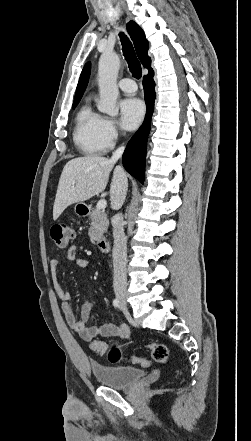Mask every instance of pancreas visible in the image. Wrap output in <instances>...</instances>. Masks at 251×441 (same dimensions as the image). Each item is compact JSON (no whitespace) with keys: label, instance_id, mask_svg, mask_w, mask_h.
<instances>
[{"label":"pancreas","instance_id":"pancreas-1","mask_svg":"<svg viewBox=\"0 0 251 441\" xmlns=\"http://www.w3.org/2000/svg\"><path fill=\"white\" fill-rule=\"evenodd\" d=\"M89 236L91 242L98 241L101 235L107 231L109 221L104 212L99 209H92L90 214Z\"/></svg>","mask_w":251,"mask_h":441}]
</instances>
